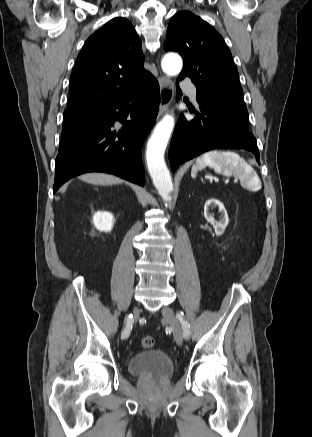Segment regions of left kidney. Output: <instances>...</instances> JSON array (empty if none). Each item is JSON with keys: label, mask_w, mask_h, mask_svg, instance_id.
I'll use <instances>...</instances> for the list:
<instances>
[{"label": "left kidney", "mask_w": 312, "mask_h": 437, "mask_svg": "<svg viewBox=\"0 0 312 437\" xmlns=\"http://www.w3.org/2000/svg\"><path fill=\"white\" fill-rule=\"evenodd\" d=\"M215 206L219 207V212L223 213V216H221V220L217 221L215 220L214 216L210 213V210L214 208ZM204 216L207 219V221L214 227V229L220 233L223 232L228 225V216L227 212L225 210L224 205L215 198H210L207 200L204 206Z\"/></svg>", "instance_id": "obj_1"}]
</instances>
